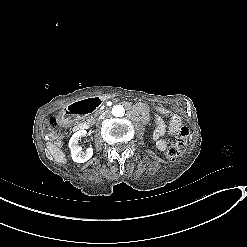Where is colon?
<instances>
[{"label":"colon","mask_w":247,"mask_h":247,"mask_svg":"<svg viewBox=\"0 0 247 247\" xmlns=\"http://www.w3.org/2000/svg\"><path fill=\"white\" fill-rule=\"evenodd\" d=\"M146 106L148 108H151L152 106L155 108L156 113L161 116L165 117L168 115L169 110L167 107H165L162 104H159L158 102H155L154 104L151 101H148L146 103ZM49 129L54 133L58 134L64 131L63 125L59 124L56 119H51L48 123ZM189 140V130L187 127H181L174 137V140H172L167 149H166V156L169 160H175L180 155L183 148L187 145Z\"/></svg>","instance_id":"obj_1"}]
</instances>
